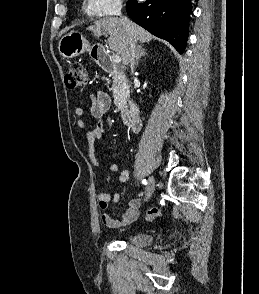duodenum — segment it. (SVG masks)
Listing matches in <instances>:
<instances>
[{"instance_id":"obj_1","label":"duodenum","mask_w":259,"mask_h":294,"mask_svg":"<svg viewBox=\"0 0 259 294\" xmlns=\"http://www.w3.org/2000/svg\"><path fill=\"white\" fill-rule=\"evenodd\" d=\"M93 57L105 71L118 75L122 74L110 56L104 51L96 52ZM122 119L133 131H138L141 128L142 120L139 110L134 103H130L128 107L122 110Z\"/></svg>"}]
</instances>
